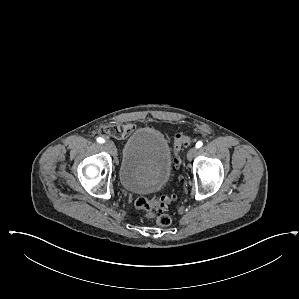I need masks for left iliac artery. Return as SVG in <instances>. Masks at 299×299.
<instances>
[{"label":"left iliac artery","mask_w":299,"mask_h":299,"mask_svg":"<svg viewBox=\"0 0 299 299\" xmlns=\"http://www.w3.org/2000/svg\"><path fill=\"white\" fill-rule=\"evenodd\" d=\"M202 145H203V142L202 141H198L196 143V148L198 149V148L202 147Z\"/></svg>","instance_id":"left-iliac-artery-1"}]
</instances>
